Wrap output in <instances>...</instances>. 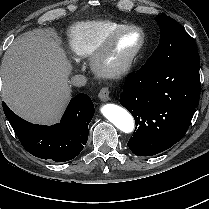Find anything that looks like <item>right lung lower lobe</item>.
I'll return each instance as SVG.
<instances>
[{"instance_id": "right-lung-lower-lobe-1", "label": "right lung lower lobe", "mask_w": 209, "mask_h": 209, "mask_svg": "<svg viewBox=\"0 0 209 209\" xmlns=\"http://www.w3.org/2000/svg\"><path fill=\"white\" fill-rule=\"evenodd\" d=\"M3 110L23 147L38 158L55 162L69 161L83 150L95 112L90 97L83 93L71 99L60 123L52 126L25 121L4 102Z\"/></svg>"}]
</instances>
